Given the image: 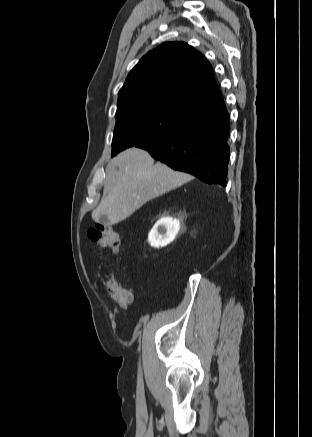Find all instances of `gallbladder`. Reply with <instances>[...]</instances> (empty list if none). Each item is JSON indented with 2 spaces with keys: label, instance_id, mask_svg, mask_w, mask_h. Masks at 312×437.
Returning a JSON list of instances; mask_svg holds the SVG:
<instances>
[{
  "label": "gallbladder",
  "instance_id": "1",
  "mask_svg": "<svg viewBox=\"0 0 312 437\" xmlns=\"http://www.w3.org/2000/svg\"><path fill=\"white\" fill-rule=\"evenodd\" d=\"M100 223L104 224L105 220L103 218L100 219Z\"/></svg>",
  "mask_w": 312,
  "mask_h": 437
}]
</instances>
